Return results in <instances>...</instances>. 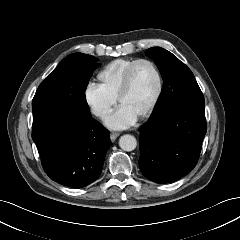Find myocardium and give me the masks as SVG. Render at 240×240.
Wrapping results in <instances>:
<instances>
[{
    "instance_id": "myocardium-1",
    "label": "myocardium",
    "mask_w": 240,
    "mask_h": 240,
    "mask_svg": "<svg viewBox=\"0 0 240 240\" xmlns=\"http://www.w3.org/2000/svg\"><path fill=\"white\" fill-rule=\"evenodd\" d=\"M140 63L149 64L152 67V69L154 70L156 78H157L156 94H155L152 102L150 103V105L138 117L139 119H144V118H147L148 116H150L153 113V111L156 109V107L162 97L163 89H164V80H163L162 73H161L159 67L157 66V64L153 60H151L149 58H139V59H136L134 62H132V64L126 69V71L124 73L121 88H120L119 94L117 96V101L119 104H121L123 98L129 92L130 87H131V78H132L133 71H134L135 67Z\"/></svg>"
}]
</instances>
